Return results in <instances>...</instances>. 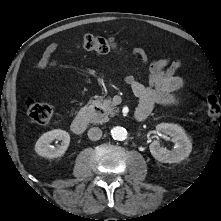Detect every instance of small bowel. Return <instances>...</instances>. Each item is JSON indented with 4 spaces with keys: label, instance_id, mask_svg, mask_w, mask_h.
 <instances>
[{
    "label": "small bowel",
    "instance_id": "small-bowel-1",
    "mask_svg": "<svg viewBox=\"0 0 221 221\" xmlns=\"http://www.w3.org/2000/svg\"><path fill=\"white\" fill-rule=\"evenodd\" d=\"M58 49L57 44L47 46L42 57L36 65L39 70H44L57 65L52 59L53 53ZM132 54L139 57L143 63L148 62L145 51L135 48ZM183 66L180 60L170 61L168 58L154 60L149 65V84L139 82L133 74L125 77V82L131 87L134 95L139 99L137 111H144L147 115L155 105H177L179 99L176 92L185 85L184 80L176 75V72Z\"/></svg>",
    "mask_w": 221,
    "mask_h": 221
}]
</instances>
